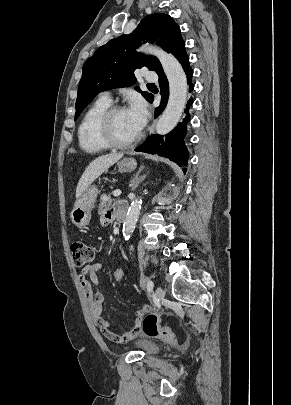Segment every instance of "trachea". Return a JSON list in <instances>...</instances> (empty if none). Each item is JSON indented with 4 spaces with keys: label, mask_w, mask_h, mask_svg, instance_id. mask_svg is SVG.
<instances>
[{
    "label": "trachea",
    "mask_w": 291,
    "mask_h": 405,
    "mask_svg": "<svg viewBox=\"0 0 291 405\" xmlns=\"http://www.w3.org/2000/svg\"><path fill=\"white\" fill-rule=\"evenodd\" d=\"M148 86H154V84H153V83H149Z\"/></svg>",
    "instance_id": "3493384b"
}]
</instances>
